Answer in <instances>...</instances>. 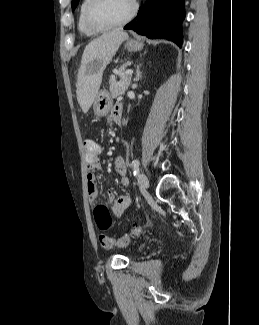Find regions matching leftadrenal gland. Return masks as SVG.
Returning a JSON list of instances; mask_svg holds the SVG:
<instances>
[{"mask_svg": "<svg viewBox=\"0 0 259 325\" xmlns=\"http://www.w3.org/2000/svg\"><path fill=\"white\" fill-rule=\"evenodd\" d=\"M140 66L141 65L137 66V68H136V76L134 78V81H136V82H138L139 80L142 79V73L140 72Z\"/></svg>", "mask_w": 259, "mask_h": 325, "instance_id": "left-adrenal-gland-1", "label": "left adrenal gland"}]
</instances>
